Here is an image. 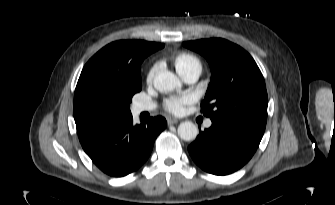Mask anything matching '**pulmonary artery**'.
Segmentation results:
<instances>
[{"instance_id":"1","label":"pulmonary artery","mask_w":335,"mask_h":205,"mask_svg":"<svg viewBox=\"0 0 335 205\" xmlns=\"http://www.w3.org/2000/svg\"><path fill=\"white\" fill-rule=\"evenodd\" d=\"M199 76H200V71H198V70H190V71L181 75V77L184 79V81H186L188 83H193V82L197 81ZM154 108H155V105L152 104V103H148V102H138L134 105V111L136 113L151 111ZM205 126L210 127L211 126V121L207 120L206 123H205Z\"/></svg>"}]
</instances>
